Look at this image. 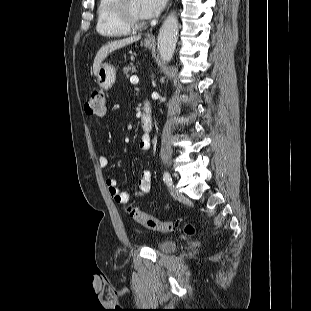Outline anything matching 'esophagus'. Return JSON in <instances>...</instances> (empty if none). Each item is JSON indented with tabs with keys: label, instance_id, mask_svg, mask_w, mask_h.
<instances>
[{
	"label": "esophagus",
	"instance_id": "esophagus-1",
	"mask_svg": "<svg viewBox=\"0 0 311 311\" xmlns=\"http://www.w3.org/2000/svg\"><path fill=\"white\" fill-rule=\"evenodd\" d=\"M147 41H154L155 40V37L154 36H147L146 38Z\"/></svg>",
	"mask_w": 311,
	"mask_h": 311
}]
</instances>
